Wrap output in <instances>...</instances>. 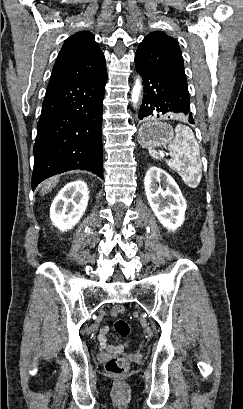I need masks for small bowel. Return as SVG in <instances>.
Listing matches in <instances>:
<instances>
[{"label": "small bowel", "mask_w": 243, "mask_h": 409, "mask_svg": "<svg viewBox=\"0 0 243 409\" xmlns=\"http://www.w3.org/2000/svg\"><path fill=\"white\" fill-rule=\"evenodd\" d=\"M108 332H109V326L108 325L102 326L100 328L99 333H98V337H97L100 348L106 350V352H108L110 354H116V353L122 352L125 349L126 344L125 343H116L114 345H108L107 337H106Z\"/></svg>", "instance_id": "c3829d8e"}]
</instances>
